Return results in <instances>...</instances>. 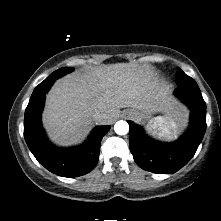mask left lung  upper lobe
I'll use <instances>...</instances> for the list:
<instances>
[{
  "instance_id": "1",
  "label": "left lung upper lobe",
  "mask_w": 221,
  "mask_h": 221,
  "mask_svg": "<svg viewBox=\"0 0 221 221\" xmlns=\"http://www.w3.org/2000/svg\"><path fill=\"white\" fill-rule=\"evenodd\" d=\"M176 84L178 88L199 89L197 83L190 76L186 75L181 69L177 70Z\"/></svg>"
}]
</instances>
